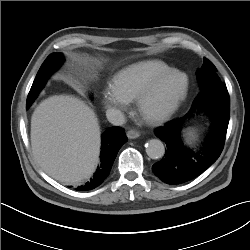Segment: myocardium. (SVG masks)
Wrapping results in <instances>:
<instances>
[{
  "label": "myocardium",
  "instance_id": "myocardium-1",
  "mask_svg": "<svg viewBox=\"0 0 250 250\" xmlns=\"http://www.w3.org/2000/svg\"><path fill=\"white\" fill-rule=\"evenodd\" d=\"M179 75L182 76L184 79V83L182 86L181 91L178 95L169 103L162 111L156 114H147L146 112V105L151 97L155 94L160 84L165 81L166 79ZM190 86V80L188 75L177 69H171L156 78H154L137 96L136 98V107L138 112L143 116L147 123L152 125H157L163 123L164 121L168 120L178 109L180 104L186 98L188 90Z\"/></svg>",
  "mask_w": 250,
  "mask_h": 250
}]
</instances>
